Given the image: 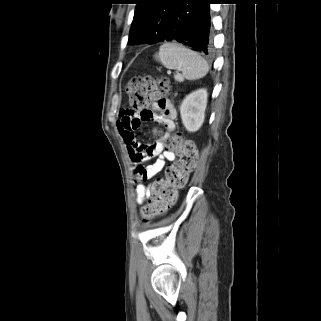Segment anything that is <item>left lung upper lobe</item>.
Wrapping results in <instances>:
<instances>
[{
    "instance_id": "5c2ea615",
    "label": "left lung upper lobe",
    "mask_w": 321,
    "mask_h": 321,
    "mask_svg": "<svg viewBox=\"0 0 321 321\" xmlns=\"http://www.w3.org/2000/svg\"><path fill=\"white\" fill-rule=\"evenodd\" d=\"M176 3L177 0H136L129 44L161 42Z\"/></svg>"
}]
</instances>
